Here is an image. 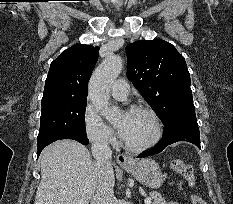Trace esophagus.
<instances>
[{
	"label": "esophagus",
	"instance_id": "1",
	"mask_svg": "<svg viewBox=\"0 0 233 204\" xmlns=\"http://www.w3.org/2000/svg\"><path fill=\"white\" fill-rule=\"evenodd\" d=\"M116 160L120 166H129L133 163V158L126 154H119Z\"/></svg>",
	"mask_w": 233,
	"mask_h": 204
}]
</instances>
